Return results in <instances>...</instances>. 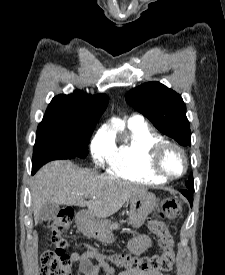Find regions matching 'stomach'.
<instances>
[{
  "label": "stomach",
  "instance_id": "1",
  "mask_svg": "<svg viewBox=\"0 0 225 275\" xmlns=\"http://www.w3.org/2000/svg\"><path fill=\"white\" fill-rule=\"evenodd\" d=\"M158 207V200L152 193H143L130 198L129 224L133 228L141 227L150 213ZM83 230L91 237L110 244L115 241L108 222H98L92 218L87 219Z\"/></svg>",
  "mask_w": 225,
  "mask_h": 275
}]
</instances>
